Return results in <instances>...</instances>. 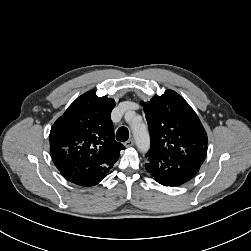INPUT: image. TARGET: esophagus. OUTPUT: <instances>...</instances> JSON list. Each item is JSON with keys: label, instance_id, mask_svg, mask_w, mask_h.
I'll use <instances>...</instances> for the list:
<instances>
[{"label": "esophagus", "instance_id": "esophagus-1", "mask_svg": "<svg viewBox=\"0 0 251 251\" xmlns=\"http://www.w3.org/2000/svg\"><path fill=\"white\" fill-rule=\"evenodd\" d=\"M135 144L134 140L131 138L125 142V147H131Z\"/></svg>", "mask_w": 251, "mask_h": 251}]
</instances>
